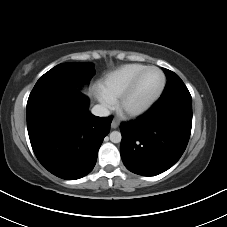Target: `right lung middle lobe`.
Here are the masks:
<instances>
[{"label":"right lung middle lobe","mask_w":227,"mask_h":227,"mask_svg":"<svg viewBox=\"0 0 227 227\" xmlns=\"http://www.w3.org/2000/svg\"><path fill=\"white\" fill-rule=\"evenodd\" d=\"M94 74V65L90 62L59 64L40 77L27 103L53 92L79 87L89 82Z\"/></svg>","instance_id":"right-lung-middle-lobe-1"}]
</instances>
